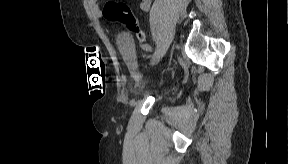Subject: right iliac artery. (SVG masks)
<instances>
[{
  "label": "right iliac artery",
  "instance_id": "obj_1",
  "mask_svg": "<svg viewBox=\"0 0 288 164\" xmlns=\"http://www.w3.org/2000/svg\"><path fill=\"white\" fill-rule=\"evenodd\" d=\"M142 49L147 51V52H151L152 51V47L149 44H142Z\"/></svg>",
  "mask_w": 288,
  "mask_h": 164
}]
</instances>
